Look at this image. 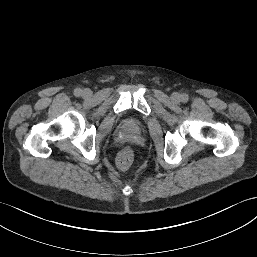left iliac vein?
<instances>
[{"label": "left iliac vein", "instance_id": "left-iliac-vein-1", "mask_svg": "<svg viewBox=\"0 0 257 257\" xmlns=\"http://www.w3.org/2000/svg\"><path fill=\"white\" fill-rule=\"evenodd\" d=\"M171 99L172 101L177 102L180 100V95L178 93H173Z\"/></svg>", "mask_w": 257, "mask_h": 257}]
</instances>
